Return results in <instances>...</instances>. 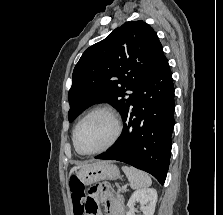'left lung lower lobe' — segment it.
Segmentation results:
<instances>
[{
    "label": "left lung lower lobe",
    "instance_id": "obj_1",
    "mask_svg": "<svg viewBox=\"0 0 223 215\" xmlns=\"http://www.w3.org/2000/svg\"><path fill=\"white\" fill-rule=\"evenodd\" d=\"M174 109L172 72L164 59L135 93L122 117L121 136L95 158L125 162L164 184L170 163Z\"/></svg>",
    "mask_w": 223,
    "mask_h": 215
}]
</instances>
